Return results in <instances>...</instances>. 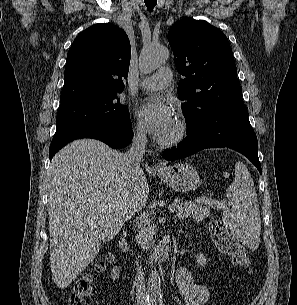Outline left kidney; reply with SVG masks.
<instances>
[{"label": "left kidney", "instance_id": "left-kidney-1", "mask_svg": "<svg viewBox=\"0 0 297 305\" xmlns=\"http://www.w3.org/2000/svg\"><path fill=\"white\" fill-rule=\"evenodd\" d=\"M207 258L202 254H197L196 256V263L198 266H205L207 264Z\"/></svg>", "mask_w": 297, "mask_h": 305}]
</instances>
